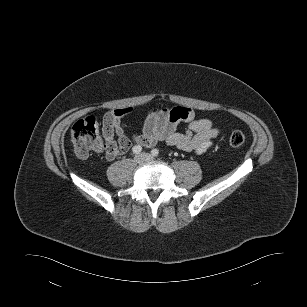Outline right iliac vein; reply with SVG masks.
I'll return each instance as SVG.
<instances>
[{"label":"right iliac vein","mask_w":307,"mask_h":307,"mask_svg":"<svg viewBox=\"0 0 307 307\" xmlns=\"http://www.w3.org/2000/svg\"><path fill=\"white\" fill-rule=\"evenodd\" d=\"M144 160H145V159H144V157H143L142 154L136 155V156L134 157V161H135L136 163H138V164L143 163Z\"/></svg>","instance_id":"63e3f726"}]
</instances>
